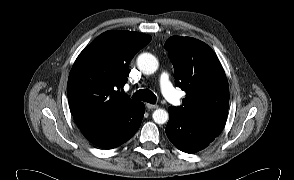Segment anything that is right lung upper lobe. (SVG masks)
<instances>
[{
	"instance_id": "1",
	"label": "right lung upper lobe",
	"mask_w": 294,
	"mask_h": 180,
	"mask_svg": "<svg viewBox=\"0 0 294 180\" xmlns=\"http://www.w3.org/2000/svg\"><path fill=\"white\" fill-rule=\"evenodd\" d=\"M150 41L137 32L107 31L79 54L68 78V101L79 128L106 123L135 102L119 90L131 59Z\"/></svg>"
}]
</instances>
